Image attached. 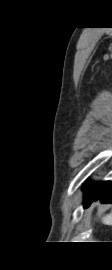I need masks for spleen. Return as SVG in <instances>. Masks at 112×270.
Segmentation results:
<instances>
[{
  "label": "spleen",
  "instance_id": "3e777b00",
  "mask_svg": "<svg viewBox=\"0 0 112 270\" xmlns=\"http://www.w3.org/2000/svg\"><path fill=\"white\" fill-rule=\"evenodd\" d=\"M102 220H103L104 224L112 226V214H109V215L103 217Z\"/></svg>",
  "mask_w": 112,
  "mask_h": 270
}]
</instances>
